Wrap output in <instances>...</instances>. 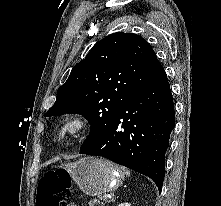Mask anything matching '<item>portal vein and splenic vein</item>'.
<instances>
[{
    "mask_svg": "<svg viewBox=\"0 0 221 206\" xmlns=\"http://www.w3.org/2000/svg\"><path fill=\"white\" fill-rule=\"evenodd\" d=\"M103 198H104V200H106V199L108 198V196H107V195H104Z\"/></svg>",
    "mask_w": 221,
    "mask_h": 206,
    "instance_id": "portal-vein-and-splenic-vein-1",
    "label": "portal vein and splenic vein"
}]
</instances>
